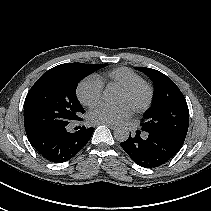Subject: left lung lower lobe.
<instances>
[{
    "label": "left lung lower lobe",
    "instance_id": "0a47b994",
    "mask_svg": "<svg viewBox=\"0 0 211 211\" xmlns=\"http://www.w3.org/2000/svg\"><path fill=\"white\" fill-rule=\"evenodd\" d=\"M136 134L134 137L130 135L120 145L136 164L145 168L158 167L166 163L182 147L156 133L148 132L146 139H142L139 133Z\"/></svg>",
    "mask_w": 211,
    "mask_h": 211
}]
</instances>
